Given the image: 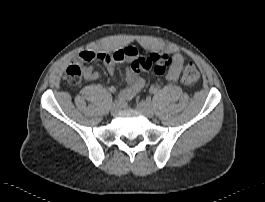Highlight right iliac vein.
Here are the masks:
<instances>
[{"instance_id":"right-iliac-vein-1","label":"right iliac vein","mask_w":265,"mask_h":202,"mask_svg":"<svg viewBox=\"0 0 265 202\" xmlns=\"http://www.w3.org/2000/svg\"><path fill=\"white\" fill-rule=\"evenodd\" d=\"M119 109H120V104L117 102H114L111 106V109H110L111 114H113V115L116 114L119 111Z\"/></svg>"}]
</instances>
